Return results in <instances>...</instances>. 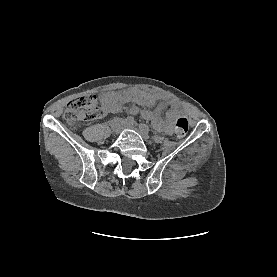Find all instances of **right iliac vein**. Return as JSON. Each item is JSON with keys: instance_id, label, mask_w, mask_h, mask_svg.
<instances>
[{"instance_id": "right-iliac-vein-1", "label": "right iliac vein", "mask_w": 277, "mask_h": 277, "mask_svg": "<svg viewBox=\"0 0 277 277\" xmlns=\"http://www.w3.org/2000/svg\"><path fill=\"white\" fill-rule=\"evenodd\" d=\"M123 126V122L120 120H116L112 123V130L115 134H118Z\"/></svg>"}]
</instances>
